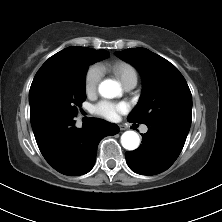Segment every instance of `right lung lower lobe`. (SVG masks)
I'll list each match as a JSON object with an SVG mask.
<instances>
[{
	"label": "right lung lower lobe",
	"instance_id": "right-lung-lower-lobe-1",
	"mask_svg": "<svg viewBox=\"0 0 222 222\" xmlns=\"http://www.w3.org/2000/svg\"><path fill=\"white\" fill-rule=\"evenodd\" d=\"M33 132L42 155L55 170L78 176L93 168L98 143L107 135L117 134L119 127L90 118L82 128H77L74 117L54 116L33 128Z\"/></svg>",
	"mask_w": 222,
	"mask_h": 222
}]
</instances>
